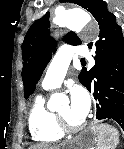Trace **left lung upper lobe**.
I'll return each instance as SVG.
<instances>
[{
  "mask_svg": "<svg viewBox=\"0 0 124 149\" xmlns=\"http://www.w3.org/2000/svg\"><path fill=\"white\" fill-rule=\"evenodd\" d=\"M70 2L88 10L98 22L100 30L98 39L88 44L94 51L95 66L90 70L83 68L79 74V81L87 88L97 64L124 51V35L121 26L116 23V17L108 11L103 0H71ZM49 16L50 13L47 12L34 22L22 44L24 60L22 79L25 98L34 92L36 83L52 56L51 52L56 51V41L49 36ZM64 41L71 45L81 44L79 37L72 31L65 35Z\"/></svg>",
  "mask_w": 124,
  "mask_h": 149,
  "instance_id": "obj_1",
  "label": "left lung upper lobe"
}]
</instances>
